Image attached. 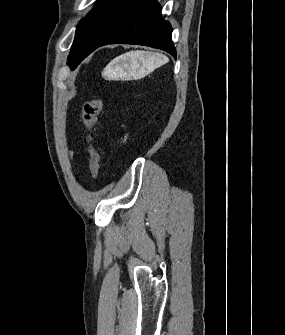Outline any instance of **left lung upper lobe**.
<instances>
[{
    "label": "left lung upper lobe",
    "mask_w": 285,
    "mask_h": 335,
    "mask_svg": "<svg viewBox=\"0 0 285 335\" xmlns=\"http://www.w3.org/2000/svg\"><path fill=\"white\" fill-rule=\"evenodd\" d=\"M110 1L111 0H98V3L92 9V11L89 12V14L77 25L75 39L71 48L70 55L68 57V64L72 67V69H74L79 64V53L82 46L83 38L87 33L88 28L94 22L98 14Z\"/></svg>",
    "instance_id": "obj_1"
}]
</instances>
